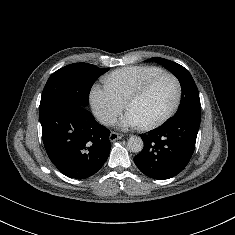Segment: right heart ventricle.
Here are the masks:
<instances>
[{"mask_svg": "<svg viewBox=\"0 0 235 235\" xmlns=\"http://www.w3.org/2000/svg\"><path fill=\"white\" fill-rule=\"evenodd\" d=\"M162 72L155 66H129L112 72L106 78V84L125 103L149 78Z\"/></svg>", "mask_w": 235, "mask_h": 235, "instance_id": "obj_1", "label": "right heart ventricle"}]
</instances>
